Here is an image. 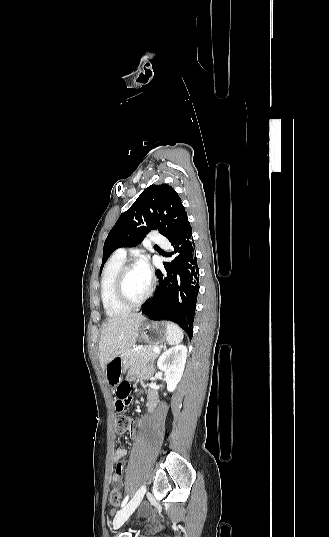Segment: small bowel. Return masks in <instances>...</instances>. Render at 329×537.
<instances>
[{
	"label": "small bowel",
	"mask_w": 329,
	"mask_h": 537,
	"mask_svg": "<svg viewBox=\"0 0 329 537\" xmlns=\"http://www.w3.org/2000/svg\"><path fill=\"white\" fill-rule=\"evenodd\" d=\"M115 394H116V401H115L114 408L116 411L122 412L127 408V405H130L133 402L132 397L134 396V393L130 387V380L124 379L123 381H119L117 383V389L115 391ZM156 402H157L156 393L154 391H149L148 392V408L150 411H152L155 408ZM133 434L134 432L132 431V435ZM126 454H127V449L124 447L117 448L113 454V460L116 463V467L112 474L111 479H112V482L117 487L123 486L122 460L126 456Z\"/></svg>",
	"instance_id": "small-bowel-1"
}]
</instances>
